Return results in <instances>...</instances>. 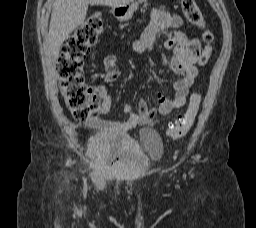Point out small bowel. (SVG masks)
Returning <instances> with one entry per match:
<instances>
[{
  "mask_svg": "<svg viewBox=\"0 0 256 228\" xmlns=\"http://www.w3.org/2000/svg\"><path fill=\"white\" fill-rule=\"evenodd\" d=\"M182 25V19L176 14L167 11L155 9L152 12L151 20L146 30L132 44L135 52L146 53L152 50L156 36L168 28L178 29ZM167 49H172V56L167 62L171 70L180 75L181 78L173 83L174 97L167 98L161 93H157L158 108H150L147 102L140 98L137 104V112H134L130 104H125L123 111L127 119L123 122L91 119L88 125L99 133H123L137 126L150 125L153 123L157 113L167 115L175 109H180L186 104L189 95V89L193 85L198 75V69L195 63L198 60L200 52V42L197 39H189L183 32L176 31L173 36L165 42ZM106 83L115 82L120 76V70L116 64V57L109 55L104 59ZM93 91L98 94L102 100L101 113L108 114L111 110V95L108 89L103 85L93 87Z\"/></svg>",
  "mask_w": 256,
  "mask_h": 228,
  "instance_id": "obj_1",
  "label": "small bowel"
}]
</instances>
